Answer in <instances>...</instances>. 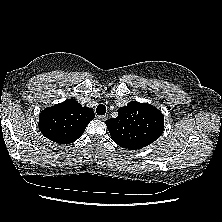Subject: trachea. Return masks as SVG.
Masks as SVG:
<instances>
[{
	"instance_id": "3493384b",
	"label": "trachea",
	"mask_w": 222,
	"mask_h": 222,
	"mask_svg": "<svg viewBox=\"0 0 222 222\" xmlns=\"http://www.w3.org/2000/svg\"><path fill=\"white\" fill-rule=\"evenodd\" d=\"M96 113H97V115H105L106 106L103 104L98 105V107L96 108Z\"/></svg>"
}]
</instances>
